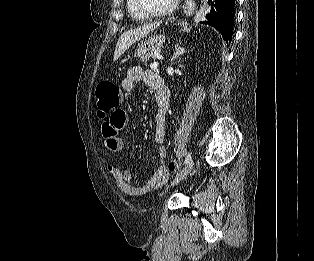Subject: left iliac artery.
I'll list each match as a JSON object with an SVG mask.
<instances>
[{
  "mask_svg": "<svg viewBox=\"0 0 314 261\" xmlns=\"http://www.w3.org/2000/svg\"><path fill=\"white\" fill-rule=\"evenodd\" d=\"M190 159H191V153H188L185 160H184V164H187Z\"/></svg>",
  "mask_w": 314,
  "mask_h": 261,
  "instance_id": "left-iliac-artery-1",
  "label": "left iliac artery"
}]
</instances>
